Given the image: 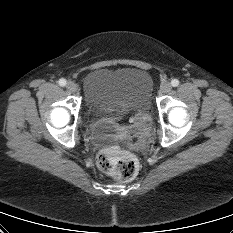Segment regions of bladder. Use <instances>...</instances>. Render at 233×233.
I'll return each mask as SVG.
<instances>
[{
	"label": "bladder",
	"instance_id": "31cf9c89",
	"mask_svg": "<svg viewBox=\"0 0 233 233\" xmlns=\"http://www.w3.org/2000/svg\"><path fill=\"white\" fill-rule=\"evenodd\" d=\"M153 79L136 67L99 68L83 79L84 112L88 118H120L151 109Z\"/></svg>",
	"mask_w": 233,
	"mask_h": 233
}]
</instances>
